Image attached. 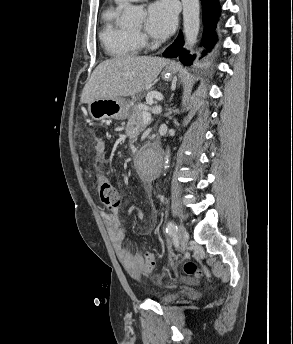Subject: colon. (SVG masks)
<instances>
[{"label":"colon","instance_id":"1","mask_svg":"<svg viewBox=\"0 0 293 344\" xmlns=\"http://www.w3.org/2000/svg\"><path fill=\"white\" fill-rule=\"evenodd\" d=\"M98 193L100 195L102 203L109 209H115L118 207L120 198L113 187L111 182L107 178H102L98 182ZM143 272L145 275H149L155 267V257L151 252H146L143 258ZM183 270L186 275L190 277H200L202 270L198 264L194 261H187L184 263Z\"/></svg>","mask_w":293,"mask_h":344}]
</instances>
